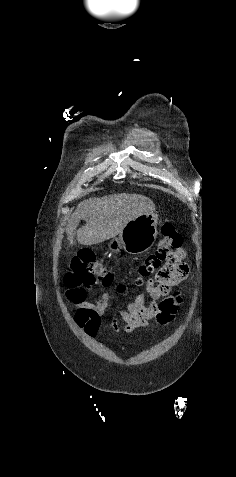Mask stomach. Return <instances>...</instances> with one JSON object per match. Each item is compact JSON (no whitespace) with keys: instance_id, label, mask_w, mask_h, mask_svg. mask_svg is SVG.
<instances>
[{"instance_id":"1","label":"stomach","mask_w":236,"mask_h":477,"mask_svg":"<svg viewBox=\"0 0 236 477\" xmlns=\"http://www.w3.org/2000/svg\"><path fill=\"white\" fill-rule=\"evenodd\" d=\"M158 216L154 213L143 214L129 221L118 237L112 239L109 250L114 253L124 250L132 255L148 251L157 238Z\"/></svg>"}]
</instances>
